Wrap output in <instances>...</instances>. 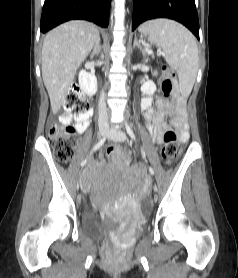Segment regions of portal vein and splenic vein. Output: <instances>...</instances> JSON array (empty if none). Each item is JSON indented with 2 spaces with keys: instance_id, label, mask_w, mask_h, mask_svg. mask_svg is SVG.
Instances as JSON below:
<instances>
[{
  "instance_id": "1",
  "label": "portal vein and splenic vein",
  "mask_w": 238,
  "mask_h": 278,
  "mask_svg": "<svg viewBox=\"0 0 238 278\" xmlns=\"http://www.w3.org/2000/svg\"><path fill=\"white\" fill-rule=\"evenodd\" d=\"M146 51L149 53V54H153V51L152 50H150V49H146Z\"/></svg>"
}]
</instances>
